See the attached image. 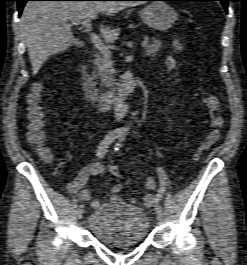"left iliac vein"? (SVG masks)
Wrapping results in <instances>:
<instances>
[{
	"mask_svg": "<svg viewBox=\"0 0 247 265\" xmlns=\"http://www.w3.org/2000/svg\"><path fill=\"white\" fill-rule=\"evenodd\" d=\"M155 213H156V217L159 221H162L163 218V212H162V208L161 207H156L155 208Z\"/></svg>",
	"mask_w": 247,
	"mask_h": 265,
	"instance_id": "obj_1",
	"label": "left iliac vein"
}]
</instances>
